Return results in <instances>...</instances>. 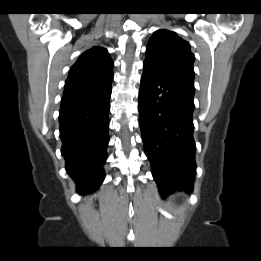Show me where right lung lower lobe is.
Returning <instances> with one entry per match:
<instances>
[{"mask_svg":"<svg viewBox=\"0 0 261 261\" xmlns=\"http://www.w3.org/2000/svg\"><path fill=\"white\" fill-rule=\"evenodd\" d=\"M111 91L109 84L62 98L59 115L61 153L80 194L97 190L105 177L103 165L109 142Z\"/></svg>","mask_w":261,"mask_h":261,"instance_id":"obj_1","label":"right lung lower lobe"}]
</instances>
